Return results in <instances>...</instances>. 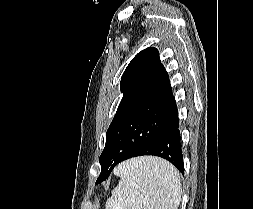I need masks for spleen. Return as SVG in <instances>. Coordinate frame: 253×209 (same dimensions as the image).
<instances>
[{
  "mask_svg": "<svg viewBox=\"0 0 253 209\" xmlns=\"http://www.w3.org/2000/svg\"><path fill=\"white\" fill-rule=\"evenodd\" d=\"M120 177L106 209H177L181 201L178 170L166 160L141 156L119 164Z\"/></svg>",
  "mask_w": 253,
  "mask_h": 209,
  "instance_id": "3e777b00",
  "label": "spleen"
}]
</instances>
